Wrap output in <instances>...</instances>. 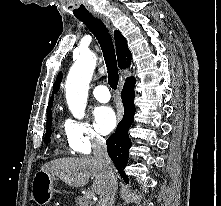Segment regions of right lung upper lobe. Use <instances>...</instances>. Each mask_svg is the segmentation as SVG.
Segmentation results:
<instances>
[{"label":"right lung upper lobe","instance_id":"right-lung-upper-lobe-1","mask_svg":"<svg viewBox=\"0 0 221 206\" xmlns=\"http://www.w3.org/2000/svg\"><path fill=\"white\" fill-rule=\"evenodd\" d=\"M115 37V44H116V53H117V59H118V66L121 69H125L130 66L131 64V52L127 47V42L124 36L119 32H114ZM62 81V73L60 72L56 78V82L54 84L53 94L58 92L60 88V83ZM53 103V96L50 98L49 104H48V112H50V108Z\"/></svg>","mask_w":221,"mask_h":206}]
</instances>
